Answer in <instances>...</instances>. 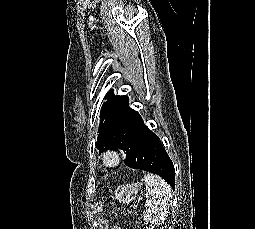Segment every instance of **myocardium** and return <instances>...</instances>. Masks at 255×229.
<instances>
[{"label": "myocardium", "instance_id": "f54148a6", "mask_svg": "<svg viewBox=\"0 0 255 229\" xmlns=\"http://www.w3.org/2000/svg\"><path fill=\"white\" fill-rule=\"evenodd\" d=\"M121 161L122 154L116 149H108L102 155V162L106 167H116Z\"/></svg>", "mask_w": 255, "mask_h": 229}]
</instances>
